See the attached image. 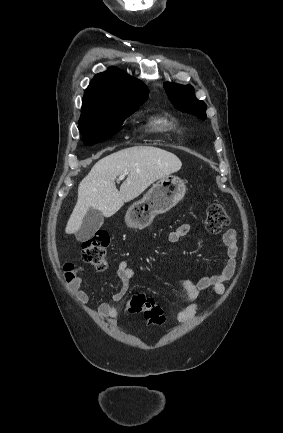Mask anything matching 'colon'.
Returning <instances> with one entry per match:
<instances>
[{
	"label": "colon",
	"mask_w": 283,
	"mask_h": 433,
	"mask_svg": "<svg viewBox=\"0 0 283 433\" xmlns=\"http://www.w3.org/2000/svg\"><path fill=\"white\" fill-rule=\"evenodd\" d=\"M230 223V216L219 202L210 203L207 207L205 226L208 231L216 233ZM109 236L97 233L82 244V259L89 266L103 271L108 266ZM78 269L72 263L64 265L65 278L72 282L77 277ZM127 314H143L151 326H160L164 322L163 311L152 298L145 295H135L126 306Z\"/></svg>",
	"instance_id": "obj_1"
}]
</instances>
